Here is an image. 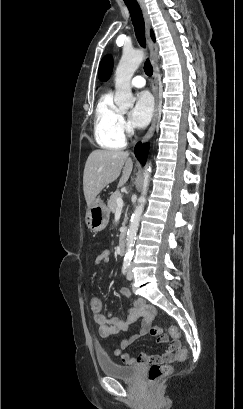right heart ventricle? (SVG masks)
Segmentation results:
<instances>
[{
    "instance_id": "right-heart-ventricle-1",
    "label": "right heart ventricle",
    "mask_w": 243,
    "mask_h": 409,
    "mask_svg": "<svg viewBox=\"0 0 243 409\" xmlns=\"http://www.w3.org/2000/svg\"><path fill=\"white\" fill-rule=\"evenodd\" d=\"M120 113L114 106L112 94L104 93L95 110L94 136L97 143L106 149H121L125 136L119 129Z\"/></svg>"
}]
</instances>
